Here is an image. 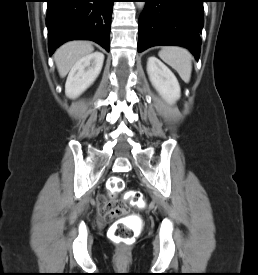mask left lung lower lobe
I'll list each match as a JSON object with an SVG mask.
<instances>
[{
  "instance_id": "1",
  "label": "left lung lower lobe",
  "mask_w": 258,
  "mask_h": 275,
  "mask_svg": "<svg viewBox=\"0 0 258 275\" xmlns=\"http://www.w3.org/2000/svg\"><path fill=\"white\" fill-rule=\"evenodd\" d=\"M146 2L138 22V52L157 45L188 48L200 56L204 23L203 0H141Z\"/></svg>"
}]
</instances>
